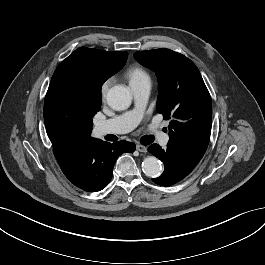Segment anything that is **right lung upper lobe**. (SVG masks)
Wrapping results in <instances>:
<instances>
[{"instance_id": "obj_1", "label": "right lung upper lobe", "mask_w": 265, "mask_h": 265, "mask_svg": "<svg viewBox=\"0 0 265 265\" xmlns=\"http://www.w3.org/2000/svg\"><path fill=\"white\" fill-rule=\"evenodd\" d=\"M81 48H85V47H81ZM88 50L93 52L97 56L108 60L112 64L113 69L109 73L108 75L109 77L114 75L124 66V64L126 63L127 57H128L127 52H120V51L107 52V51H101L97 49H88ZM48 137L53 145L55 157L60 165L68 161L70 158H72L77 153V151H79L81 147L85 145L88 141L95 139L91 137V132H85L75 138L68 139V140L59 139L51 135H48Z\"/></svg>"}]
</instances>
